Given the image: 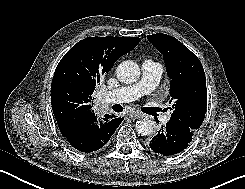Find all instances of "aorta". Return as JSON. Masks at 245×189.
Here are the masks:
<instances>
[{
    "instance_id": "1",
    "label": "aorta",
    "mask_w": 245,
    "mask_h": 189,
    "mask_svg": "<svg viewBox=\"0 0 245 189\" xmlns=\"http://www.w3.org/2000/svg\"><path fill=\"white\" fill-rule=\"evenodd\" d=\"M117 78L125 83L136 82L140 77V68L137 63L126 60L120 63L116 69ZM154 123L150 119H142L136 122V132L141 136L150 135L153 132Z\"/></svg>"
}]
</instances>
